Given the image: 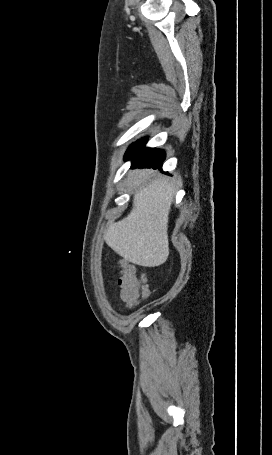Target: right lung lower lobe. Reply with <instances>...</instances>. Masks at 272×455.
I'll use <instances>...</instances> for the list:
<instances>
[{
    "label": "right lung lower lobe",
    "instance_id": "98d812e1",
    "mask_svg": "<svg viewBox=\"0 0 272 455\" xmlns=\"http://www.w3.org/2000/svg\"><path fill=\"white\" fill-rule=\"evenodd\" d=\"M146 142L147 138H143L136 143H133L125 154V160H132V168H161L162 162L165 159L164 151L160 149L146 148Z\"/></svg>",
    "mask_w": 272,
    "mask_h": 455
}]
</instances>
